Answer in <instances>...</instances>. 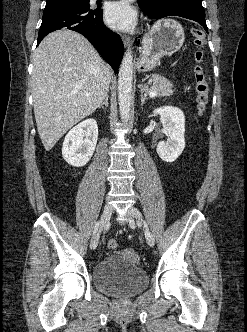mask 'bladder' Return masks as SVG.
<instances>
[{
  "mask_svg": "<svg viewBox=\"0 0 247 332\" xmlns=\"http://www.w3.org/2000/svg\"><path fill=\"white\" fill-rule=\"evenodd\" d=\"M95 288L118 298L142 292L149 283L146 271L138 265L137 255L129 249L119 250L102 258L92 271Z\"/></svg>",
  "mask_w": 247,
  "mask_h": 332,
  "instance_id": "1",
  "label": "bladder"
}]
</instances>
